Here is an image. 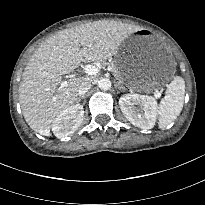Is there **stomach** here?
Returning <instances> with one entry per match:
<instances>
[{
  "mask_svg": "<svg viewBox=\"0 0 205 205\" xmlns=\"http://www.w3.org/2000/svg\"><path fill=\"white\" fill-rule=\"evenodd\" d=\"M119 75L132 89H151L173 69V58L162 40L147 29L129 35L116 51ZM154 69V74L149 70Z\"/></svg>",
  "mask_w": 205,
  "mask_h": 205,
  "instance_id": "obj_1",
  "label": "stomach"
}]
</instances>
